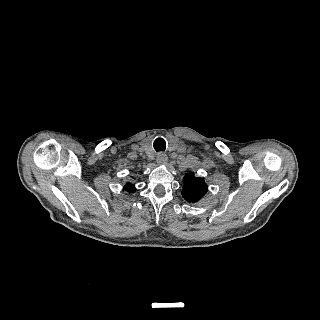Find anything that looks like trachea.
I'll return each instance as SVG.
<instances>
[{
    "mask_svg": "<svg viewBox=\"0 0 320 320\" xmlns=\"http://www.w3.org/2000/svg\"><path fill=\"white\" fill-rule=\"evenodd\" d=\"M154 149L159 152V151H165L166 149V142L163 138H157L155 141H154Z\"/></svg>",
    "mask_w": 320,
    "mask_h": 320,
    "instance_id": "trachea-1",
    "label": "trachea"
}]
</instances>
